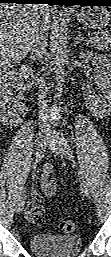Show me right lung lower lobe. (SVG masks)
<instances>
[{
	"label": "right lung lower lobe",
	"mask_w": 111,
	"mask_h": 257,
	"mask_svg": "<svg viewBox=\"0 0 111 257\" xmlns=\"http://www.w3.org/2000/svg\"><path fill=\"white\" fill-rule=\"evenodd\" d=\"M54 0H0V3H17V4H49L53 5Z\"/></svg>",
	"instance_id": "obj_1"
}]
</instances>
